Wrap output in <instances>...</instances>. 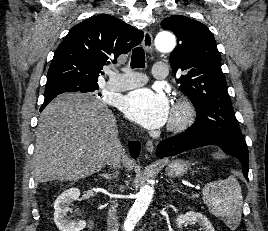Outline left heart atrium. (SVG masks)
Returning <instances> with one entry per match:
<instances>
[{"label":"left heart atrium","instance_id":"1","mask_svg":"<svg viewBox=\"0 0 268 231\" xmlns=\"http://www.w3.org/2000/svg\"><path fill=\"white\" fill-rule=\"evenodd\" d=\"M125 115L148 129L163 126L170 116L168 98L162 91L137 89L127 94L122 102Z\"/></svg>","mask_w":268,"mask_h":231}]
</instances>
